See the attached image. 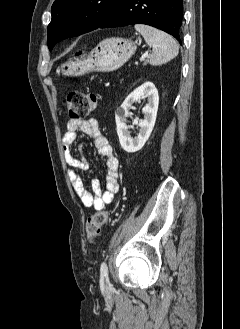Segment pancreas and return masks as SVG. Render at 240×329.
<instances>
[{
  "label": "pancreas",
  "instance_id": "pancreas-1",
  "mask_svg": "<svg viewBox=\"0 0 240 329\" xmlns=\"http://www.w3.org/2000/svg\"><path fill=\"white\" fill-rule=\"evenodd\" d=\"M148 63V61H145V64H147Z\"/></svg>",
  "mask_w": 240,
  "mask_h": 329
}]
</instances>
